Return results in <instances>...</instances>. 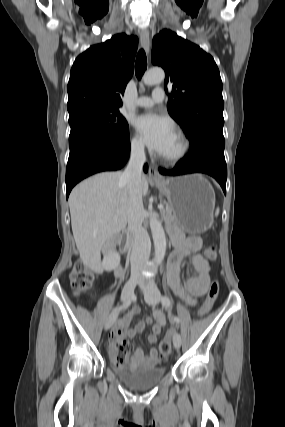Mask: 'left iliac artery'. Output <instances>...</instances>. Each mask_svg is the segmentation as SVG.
I'll use <instances>...</instances> for the list:
<instances>
[{"instance_id":"obj_1","label":"left iliac artery","mask_w":285,"mask_h":427,"mask_svg":"<svg viewBox=\"0 0 285 427\" xmlns=\"http://www.w3.org/2000/svg\"><path fill=\"white\" fill-rule=\"evenodd\" d=\"M161 302H162V305H163V306H165V307H167V308H170V307H171V301H170V299H169V297H168V296L163 295V296L161 297ZM173 321H174L175 323H179V322H180V319H179L178 317L174 316V317H173Z\"/></svg>"}]
</instances>
